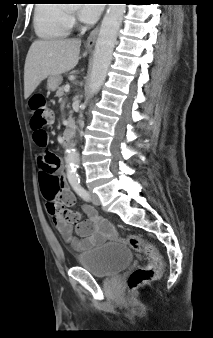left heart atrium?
I'll list each match as a JSON object with an SVG mask.
<instances>
[{"mask_svg": "<svg viewBox=\"0 0 213 338\" xmlns=\"http://www.w3.org/2000/svg\"><path fill=\"white\" fill-rule=\"evenodd\" d=\"M102 10V5H91V4H84L81 6L80 10V17L85 22H94L96 21Z\"/></svg>", "mask_w": 213, "mask_h": 338, "instance_id": "39dd6f15", "label": "left heart atrium"}]
</instances>
